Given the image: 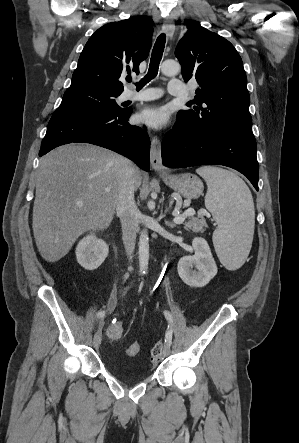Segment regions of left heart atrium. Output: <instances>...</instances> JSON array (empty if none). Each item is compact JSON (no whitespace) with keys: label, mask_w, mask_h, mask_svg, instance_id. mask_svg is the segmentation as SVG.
<instances>
[{"label":"left heart atrium","mask_w":299,"mask_h":443,"mask_svg":"<svg viewBox=\"0 0 299 443\" xmlns=\"http://www.w3.org/2000/svg\"><path fill=\"white\" fill-rule=\"evenodd\" d=\"M137 120L150 128L161 129L167 125L169 113L164 107L145 108L138 113Z\"/></svg>","instance_id":"left-heart-atrium-1"}]
</instances>
